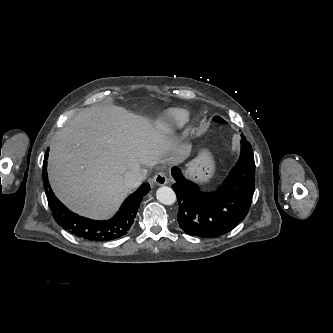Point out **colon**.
Instances as JSON below:
<instances>
[{"label": "colon", "mask_w": 333, "mask_h": 333, "mask_svg": "<svg viewBox=\"0 0 333 333\" xmlns=\"http://www.w3.org/2000/svg\"><path fill=\"white\" fill-rule=\"evenodd\" d=\"M213 122L216 123V124H224L225 123L224 119L219 117V116H215L213 118Z\"/></svg>", "instance_id": "colon-1"}]
</instances>
